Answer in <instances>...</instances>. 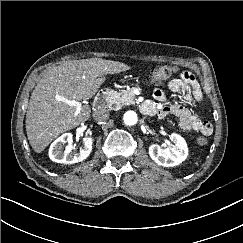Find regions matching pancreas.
I'll return each instance as SVG.
<instances>
[{
	"mask_svg": "<svg viewBox=\"0 0 243 243\" xmlns=\"http://www.w3.org/2000/svg\"><path fill=\"white\" fill-rule=\"evenodd\" d=\"M135 94L132 89L112 91L106 97L107 104L114 106L115 109H120L123 106L134 103Z\"/></svg>",
	"mask_w": 243,
	"mask_h": 243,
	"instance_id": "obj_1",
	"label": "pancreas"
}]
</instances>
